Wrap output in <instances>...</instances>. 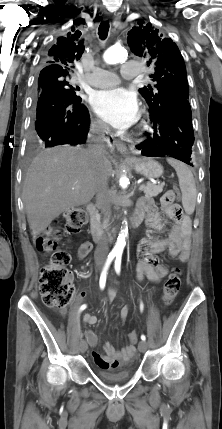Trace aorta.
I'll return each mask as SVG.
<instances>
[{
	"instance_id": "762f6f07",
	"label": "aorta",
	"mask_w": 222,
	"mask_h": 429,
	"mask_svg": "<svg viewBox=\"0 0 222 429\" xmlns=\"http://www.w3.org/2000/svg\"><path fill=\"white\" fill-rule=\"evenodd\" d=\"M128 53L127 50L121 46H112L110 48H108L104 55V61L108 64H116L120 61H123L127 58ZM123 182V180H121V183ZM125 225L124 228L121 230L118 238H117V242L114 246L113 252L115 253H122L123 249L126 245V234L128 232V228H127V223L125 221Z\"/></svg>"
}]
</instances>
